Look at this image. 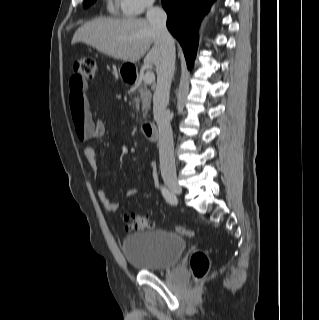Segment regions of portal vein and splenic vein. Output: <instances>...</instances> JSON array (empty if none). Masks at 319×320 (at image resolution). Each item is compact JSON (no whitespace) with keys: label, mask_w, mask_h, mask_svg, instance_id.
Wrapping results in <instances>:
<instances>
[{"label":"portal vein and splenic vein","mask_w":319,"mask_h":320,"mask_svg":"<svg viewBox=\"0 0 319 320\" xmlns=\"http://www.w3.org/2000/svg\"><path fill=\"white\" fill-rule=\"evenodd\" d=\"M154 80H155V75L153 72L148 71L145 73V75L143 77V81L145 84H151V83H153Z\"/></svg>","instance_id":"18ae733b"}]
</instances>
